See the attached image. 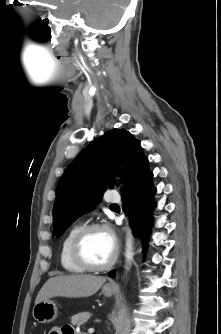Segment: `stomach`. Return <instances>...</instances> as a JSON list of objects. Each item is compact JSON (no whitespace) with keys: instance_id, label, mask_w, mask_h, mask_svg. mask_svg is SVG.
Wrapping results in <instances>:
<instances>
[{"instance_id":"0dacf381","label":"stomach","mask_w":221,"mask_h":334,"mask_svg":"<svg viewBox=\"0 0 221 334\" xmlns=\"http://www.w3.org/2000/svg\"><path fill=\"white\" fill-rule=\"evenodd\" d=\"M114 287L104 285L102 293L105 297H110L115 293ZM33 318L39 323H50L54 321L58 316V308L56 304L51 300H44L34 305L32 311Z\"/></svg>"}]
</instances>
